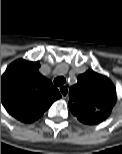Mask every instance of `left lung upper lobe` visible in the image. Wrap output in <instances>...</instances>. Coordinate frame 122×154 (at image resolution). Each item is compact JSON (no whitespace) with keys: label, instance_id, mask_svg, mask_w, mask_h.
Here are the masks:
<instances>
[{"label":"left lung upper lobe","instance_id":"obj_1","mask_svg":"<svg viewBox=\"0 0 122 154\" xmlns=\"http://www.w3.org/2000/svg\"><path fill=\"white\" fill-rule=\"evenodd\" d=\"M69 108L79 121L98 124L105 120L116 101V89L109 78L88 70L70 88Z\"/></svg>","mask_w":122,"mask_h":154}]
</instances>
